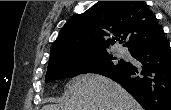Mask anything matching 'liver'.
Here are the masks:
<instances>
[{
	"label": "liver",
	"instance_id": "6515ba94",
	"mask_svg": "<svg viewBox=\"0 0 171 110\" xmlns=\"http://www.w3.org/2000/svg\"><path fill=\"white\" fill-rule=\"evenodd\" d=\"M69 97L42 110H142L119 84L101 75H84L67 85Z\"/></svg>",
	"mask_w": 171,
	"mask_h": 110
}]
</instances>
